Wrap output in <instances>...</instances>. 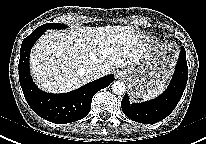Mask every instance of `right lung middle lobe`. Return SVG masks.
<instances>
[{"mask_svg":"<svg viewBox=\"0 0 206 144\" xmlns=\"http://www.w3.org/2000/svg\"><path fill=\"white\" fill-rule=\"evenodd\" d=\"M64 27H66V26H64V24L47 23V24L41 25L38 28L46 30V29H61V28H64Z\"/></svg>","mask_w":206,"mask_h":144,"instance_id":"1","label":"right lung middle lobe"}]
</instances>
